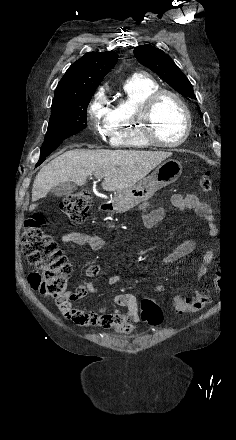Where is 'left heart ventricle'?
I'll list each match as a JSON object with an SVG mask.
<instances>
[{
    "instance_id": "left-heart-ventricle-1",
    "label": "left heart ventricle",
    "mask_w": 236,
    "mask_h": 440,
    "mask_svg": "<svg viewBox=\"0 0 236 440\" xmlns=\"http://www.w3.org/2000/svg\"><path fill=\"white\" fill-rule=\"evenodd\" d=\"M157 136L164 142L177 141L185 129V116L180 105L169 96L162 97L154 110Z\"/></svg>"
}]
</instances>
